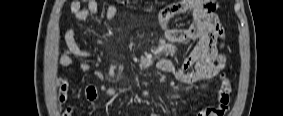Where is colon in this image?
Returning <instances> with one entry per match:
<instances>
[{"label": "colon", "mask_w": 283, "mask_h": 116, "mask_svg": "<svg viewBox=\"0 0 283 116\" xmlns=\"http://www.w3.org/2000/svg\"><path fill=\"white\" fill-rule=\"evenodd\" d=\"M165 11V10H164ZM220 61H223V56L221 55L219 57ZM67 88L66 86L62 87V93L60 95V102L63 103L65 101V92H66ZM228 109V103H223L221 106H219L216 111H217V115H222L226 110Z\"/></svg>", "instance_id": "1"}]
</instances>
